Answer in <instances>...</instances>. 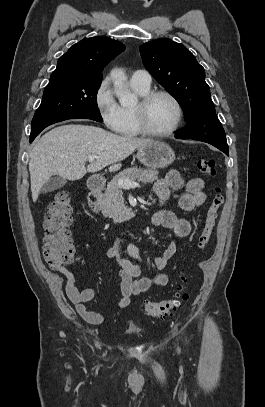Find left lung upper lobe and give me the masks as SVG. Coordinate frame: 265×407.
Segmentation results:
<instances>
[{"label":"left lung upper lobe","instance_id":"left-lung-upper-lobe-1","mask_svg":"<svg viewBox=\"0 0 265 407\" xmlns=\"http://www.w3.org/2000/svg\"><path fill=\"white\" fill-rule=\"evenodd\" d=\"M146 69L178 101L187 122L179 139L207 142L228 151L224 129L215 113L204 68L182 44L158 39L140 46Z\"/></svg>","mask_w":265,"mask_h":407}]
</instances>
